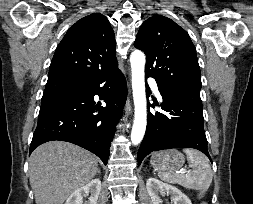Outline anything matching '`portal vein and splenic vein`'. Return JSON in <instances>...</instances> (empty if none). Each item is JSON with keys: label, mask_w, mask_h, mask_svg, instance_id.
Listing matches in <instances>:
<instances>
[{"label": "portal vein and splenic vein", "mask_w": 253, "mask_h": 204, "mask_svg": "<svg viewBox=\"0 0 253 204\" xmlns=\"http://www.w3.org/2000/svg\"><path fill=\"white\" fill-rule=\"evenodd\" d=\"M179 172H180V173H187V172H190V171H189V170H186V169H181Z\"/></svg>", "instance_id": "18ae733b"}]
</instances>
